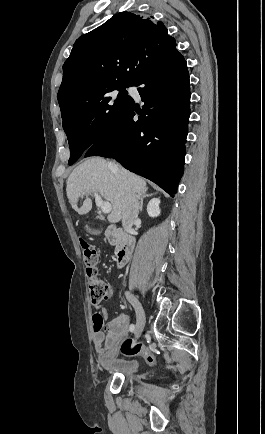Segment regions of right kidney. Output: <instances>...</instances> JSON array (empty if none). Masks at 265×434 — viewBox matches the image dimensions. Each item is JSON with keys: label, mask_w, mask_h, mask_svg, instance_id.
Instances as JSON below:
<instances>
[{"label": "right kidney", "mask_w": 265, "mask_h": 434, "mask_svg": "<svg viewBox=\"0 0 265 434\" xmlns=\"http://www.w3.org/2000/svg\"><path fill=\"white\" fill-rule=\"evenodd\" d=\"M159 204H160L159 198H152L149 204H147V212L150 218H157V216H159L160 214Z\"/></svg>", "instance_id": "obj_1"}]
</instances>
